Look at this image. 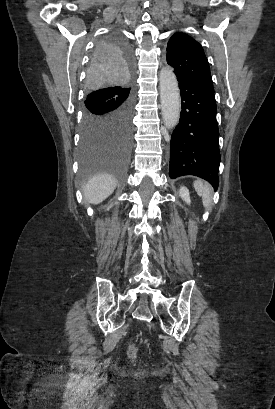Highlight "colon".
I'll return each instance as SVG.
<instances>
[{"label":"colon","mask_w":275,"mask_h":409,"mask_svg":"<svg viewBox=\"0 0 275 409\" xmlns=\"http://www.w3.org/2000/svg\"><path fill=\"white\" fill-rule=\"evenodd\" d=\"M138 350L135 346H131L128 351V356L130 358H135L137 356Z\"/></svg>","instance_id":"1"}]
</instances>
